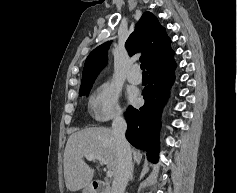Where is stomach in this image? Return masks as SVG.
Returning <instances> with one entry per match:
<instances>
[{"mask_svg":"<svg viewBox=\"0 0 237 193\" xmlns=\"http://www.w3.org/2000/svg\"><path fill=\"white\" fill-rule=\"evenodd\" d=\"M83 193H94V192H93V189H92V187H91V185L86 186V187L83 189Z\"/></svg>","mask_w":237,"mask_h":193,"instance_id":"stomach-1","label":"stomach"}]
</instances>
